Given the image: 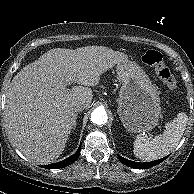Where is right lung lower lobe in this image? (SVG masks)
I'll list each match as a JSON object with an SVG mask.
<instances>
[{"mask_svg": "<svg viewBox=\"0 0 194 194\" xmlns=\"http://www.w3.org/2000/svg\"><path fill=\"white\" fill-rule=\"evenodd\" d=\"M80 149H81V145L79 146L77 152L75 154H73L72 156L68 157L67 159L60 161L58 163H53L47 166H44L47 169H58V168H63L66 167L68 165H71L72 163H74L79 155H80Z\"/></svg>", "mask_w": 194, "mask_h": 194, "instance_id": "right-lung-lower-lobe-1", "label": "right lung lower lobe"}]
</instances>
